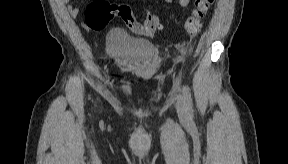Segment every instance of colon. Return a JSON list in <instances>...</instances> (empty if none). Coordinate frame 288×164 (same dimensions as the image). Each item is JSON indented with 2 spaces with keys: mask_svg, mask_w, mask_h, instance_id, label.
I'll list each match as a JSON object with an SVG mask.
<instances>
[{
  "mask_svg": "<svg viewBox=\"0 0 288 164\" xmlns=\"http://www.w3.org/2000/svg\"><path fill=\"white\" fill-rule=\"evenodd\" d=\"M211 3V0H196L194 3L185 22V33L189 37H196L200 32L203 17ZM115 16L123 18L128 29L143 36H152L161 27L157 15H149L144 23H140L126 6L117 5L108 0L91 1L86 11L85 22L91 29L100 30L106 27Z\"/></svg>",
  "mask_w": 288,
  "mask_h": 164,
  "instance_id": "5ec220e1",
  "label": "colon"
}]
</instances>
